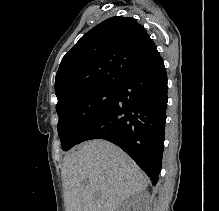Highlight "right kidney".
Here are the masks:
<instances>
[{
	"instance_id": "right-kidney-1",
	"label": "right kidney",
	"mask_w": 219,
	"mask_h": 211,
	"mask_svg": "<svg viewBox=\"0 0 219 211\" xmlns=\"http://www.w3.org/2000/svg\"><path fill=\"white\" fill-rule=\"evenodd\" d=\"M139 201H143L142 195H131L130 199H127L125 205H121L122 209H120V211H126V205H130V207H135V203H139Z\"/></svg>"
}]
</instances>
